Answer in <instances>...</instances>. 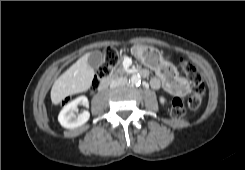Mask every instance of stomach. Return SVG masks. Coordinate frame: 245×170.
I'll use <instances>...</instances> for the list:
<instances>
[{
    "instance_id": "1",
    "label": "stomach",
    "mask_w": 245,
    "mask_h": 170,
    "mask_svg": "<svg viewBox=\"0 0 245 170\" xmlns=\"http://www.w3.org/2000/svg\"><path fill=\"white\" fill-rule=\"evenodd\" d=\"M133 55L145 66L151 69H158L163 64L161 54L153 47L146 45H134Z\"/></svg>"
}]
</instances>
